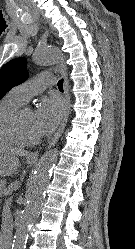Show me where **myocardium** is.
Masks as SVG:
<instances>
[{
    "instance_id": "f54148a6",
    "label": "myocardium",
    "mask_w": 135,
    "mask_h": 249,
    "mask_svg": "<svg viewBox=\"0 0 135 249\" xmlns=\"http://www.w3.org/2000/svg\"><path fill=\"white\" fill-rule=\"evenodd\" d=\"M29 109L28 107L22 105L15 110H13L5 119V124L9 131L12 133V135L17 139V141L20 144L24 145H35L40 142V137L37 138H27L26 136L23 135L20 125H19V120L22 115V113Z\"/></svg>"
}]
</instances>
